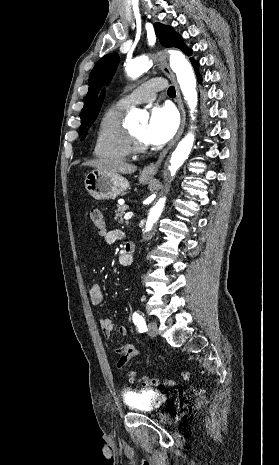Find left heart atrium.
<instances>
[{"mask_svg":"<svg viewBox=\"0 0 279 465\" xmlns=\"http://www.w3.org/2000/svg\"><path fill=\"white\" fill-rule=\"evenodd\" d=\"M178 127L177 114L169 106H157L151 111L148 124L144 132L146 143L161 145L169 141Z\"/></svg>","mask_w":279,"mask_h":465,"instance_id":"left-heart-atrium-1","label":"left heart atrium"}]
</instances>
